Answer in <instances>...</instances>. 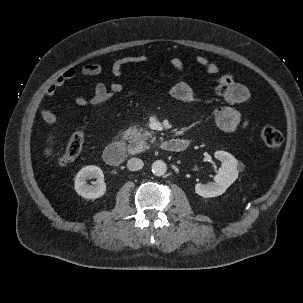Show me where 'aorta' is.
I'll use <instances>...</instances> for the list:
<instances>
[{"label": "aorta", "instance_id": "762f6f07", "mask_svg": "<svg viewBox=\"0 0 303 303\" xmlns=\"http://www.w3.org/2000/svg\"><path fill=\"white\" fill-rule=\"evenodd\" d=\"M167 171V165L162 160H156L152 164V172L156 176H162Z\"/></svg>", "mask_w": 303, "mask_h": 303}]
</instances>
